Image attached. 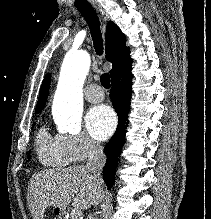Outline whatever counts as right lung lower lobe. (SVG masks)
<instances>
[{
  "label": "right lung lower lobe",
  "instance_id": "right-lung-lower-lobe-1",
  "mask_svg": "<svg viewBox=\"0 0 211 219\" xmlns=\"http://www.w3.org/2000/svg\"><path fill=\"white\" fill-rule=\"evenodd\" d=\"M131 66L111 79L112 89L110 98L113 107L118 115V126L115 134L104 148L107 156V162L103 169V179L109 189L114 183L115 171L121 147L124 144V138L127 127V114L130 105L131 86H132Z\"/></svg>",
  "mask_w": 211,
  "mask_h": 219
}]
</instances>
